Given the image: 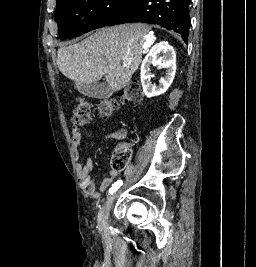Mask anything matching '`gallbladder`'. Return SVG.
Returning a JSON list of instances; mask_svg holds the SVG:
<instances>
[{"instance_id":"gallbladder-1","label":"gallbladder","mask_w":256,"mask_h":267,"mask_svg":"<svg viewBox=\"0 0 256 267\" xmlns=\"http://www.w3.org/2000/svg\"><path fill=\"white\" fill-rule=\"evenodd\" d=\"M75 90H78L83 96L88 98H98V100H104V98H110L114 94V90H111L107 84H101V82H92V84H80V82H74Z\"/></svg>"}]
</instances>
